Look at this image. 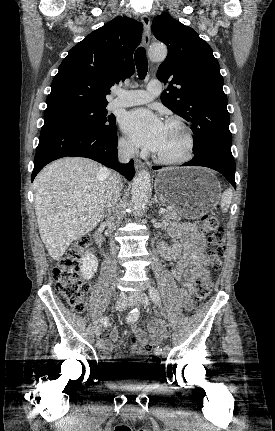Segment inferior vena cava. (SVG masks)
I'll return each mask as SVG.
<instances>
[{"instance_id":"602c4592","label":"inferior vena cava","mask_w":275,"mask_h":431,"mask_svg":"<svg viewBox=\"0 0 275 431\" xmlns=\"http://www.w3.org/2000/svg\"><path fill=\"white\" fill-rule=\"evenodd\" d=\"M134 154V147L128 143H122L118 148V158L120 162L127 163ZM122 190L121 176L114 172L109 171L106 180V194H107V211L110 213L111 207L118 201L120 192ZM108 227L113 228V223L110 221L108 215ZM112 248V243H111ZM112 253L114 249H111Z\"/></svg>"}]
</instances>
